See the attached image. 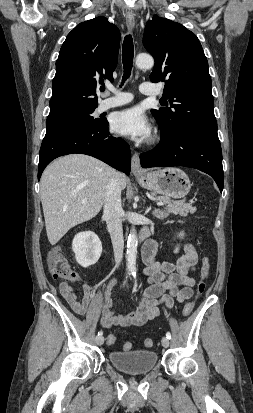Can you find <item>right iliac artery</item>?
Masks as SVG:
<instances>
[{
  "label": "right iliac artery",
  "instance_id": "1",
  "mask_svg": "<svg viewBox=\"0 0 253 413\" xmlns=\"http://www.w3.org/2000/svg\"><path fill=\"white\" fill-rule=\"evenodd\" d=\"M102 334H103L102 331H99V332H98V336H101Z\"/></svg>",
  "mask_w": 253,
  "mask_h": 413
}]
</instances>
